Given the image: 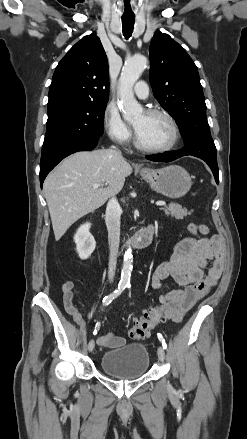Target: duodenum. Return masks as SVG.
<instances>
[{
    "label": "duodenum",
    "instance_id": "410a0bca",
    "mask_svg": "<svg viewBox=\"0 0 247 439\" xmlns=\"http://www.w3.org/2000/svg\"><path fill=\"white\" fill-rule=\"evenodd\" d=\"M155 228L153 225H148L144 229L140 230L126 245L124 248L131 247L132 249H144L150 245L153 239Z\"/></svg>",
    "mask_w": 247,
    "mask_h": 439
}]
</instances>
